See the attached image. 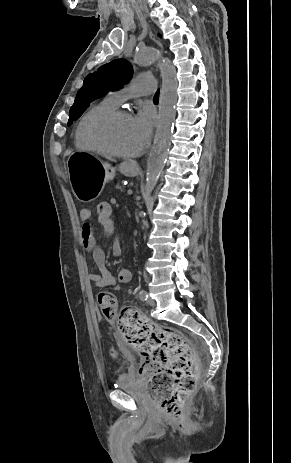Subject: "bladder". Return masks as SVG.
Segmentation results:
<instances>
[{"label":"bladder","instance_id":"1","mask_svg":"<svg viewBox=\"0 0 291 463\" xmlns=\"http://www.w3.org/2000/svg\"><path fill=\"white\" fill-rule=\"evenodd\" d=\"M133 360L134 358L132 356L124 357L125 368L122 371H120L116 377V386L118 388L133 387L137 384L136 378L130 370Z\"/></svg>","mask_w":291,"mask_h":463}]
</instances>
